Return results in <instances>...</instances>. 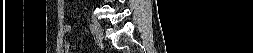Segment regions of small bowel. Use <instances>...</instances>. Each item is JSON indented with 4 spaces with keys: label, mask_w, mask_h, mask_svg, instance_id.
<instances>
[{
    "label": "small bowel",
    "mask_w": 253,
    "mask_h": 53,
    "mask_svg": "<svg viewBox=\"0 0 253 53\" xmlns=\"http://www.w3.org/2000/svg\"><path fill=\"white\" fill-rule=\"evenodd\" d=\"M63 31H64V33H69L71 31V26L70 25H64ZM65 46L69 48L70 44L66 43Z\"/></svg>",
    "instance_id": "1"
}]
</instances>
